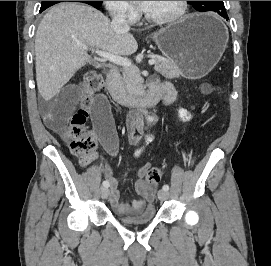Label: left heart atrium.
<instances>
[{
    "label": "left heart atrium",
    "instance_id": "39dd6f15",
    "mask_svg": "<svg viewBox=\"0 0 271 266\" xmlns=\"http://www.w3.org/2000/svg\"><path fill=\"white\" fill-rule=\"evenodd\" d=\"M150 3L151 1H139L140 7L143 10H146L149 7Z\"/></svg>",
    "mask_w": 271,
    "mask_h": 266
}]
</instances>
